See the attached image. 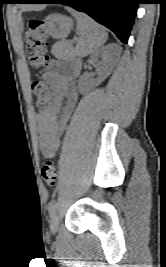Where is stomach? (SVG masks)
<instances>
[{
  "label": "stomach",
  "instance_id": "1",
  "mask_svg": "<svg viewBox=\"0 0 166 267\" xmlns=\"http://www.w3.org/2000/svg\"><path fill=\"white\" fill-rule=\"evenodd\" d=\"M73 20L65 15L54 13L45 19L46 32L55 39H64L70 33Z\"/></svg>",
  "mask_w": 166,
  "mask_h": 267
}]
</instances>
